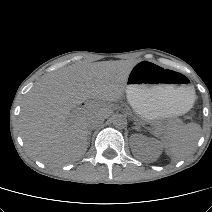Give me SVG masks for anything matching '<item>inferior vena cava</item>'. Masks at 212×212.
I'll use <instances>...</instances> for the list:
<instances>
[{
  "mask_svg": "<svg viewBox=\"0 0 212 212\" xmlns=\"http://www.w3.org/2000/svg\"><path fill=\"white\" fill-rule=\"evenodd\" d=\"M104 122V117L98 114H93L87 118V126L90 129L97 127Z\"/></svg>",
  "mask_w": 212,
  "mask_h": 212,
  "instance_id": "1",
  "label": "inferior vena cava"
}]
</instances>
